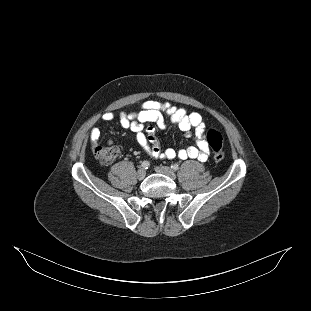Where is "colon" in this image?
<instances>
[{
  "label": "colon",
  "mask_w": 311,
  "mask_h": 311,
  "mask_svg": "<svg viewBox=\"0 0 311 311\" xmlns=\"http://www.w3.org/2000/svg\"><path fill=\"white\" fill-rule=\"evenodd\" d=\"M206 141L213 151V156L216 161H221L225 157L222 149V135L219 131L211 129L207 132ZM120 150L117 146H98L94 150L96 159L102 165L111 164L119 155Z\"/></svg>",
  "instance_id": "colon-1"
}]
</instances>
